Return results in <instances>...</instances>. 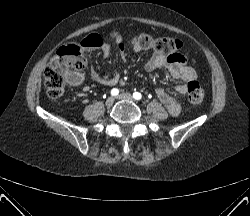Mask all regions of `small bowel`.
<instances>
[{
  "mask_svg": "<svg viewBox=\"0 0 250 216\" xmlns=\"http://www.w3.org/2000/svg\"><path fill=\"white\" fill-rule=\"evenodd\" d=\"M117 46L122 58H124L125 45L120 40H117ZM81 47L84 51L101 48L105 56L109 54L108 47L103 43L102 38L98 34H90L85 37L81 42ZM132 47L135 51L141 50V47L137 43H133ZM162 67L169 70L172 80H181L183 82L176 87V91L179 95H185L187 93L188 82L196 79V73L193 68L186 64L185 57L179 53L167 55L154 52L152 57L145 63V70L148 72H152ZM91 76L94 81L106 86H114L120 81L119 74L113 76L103 75L95 69H92ZM68 81L73 86L80 85L84 81V75L76 73L70 77ZM156 96L171 115L177 116L181 112V104L166 93L164 88H157Z\"/></svg>",
  "mask_w": 250,
  "mask_h": 216,
  "instance_id": "1",
  "label": "small bowel"
}]
</instances>
